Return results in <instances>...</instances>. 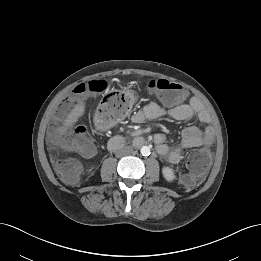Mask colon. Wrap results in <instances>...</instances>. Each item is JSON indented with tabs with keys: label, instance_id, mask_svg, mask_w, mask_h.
<instances>
[{
	"label": "colon",
	"instance_id": "5ec220e1",
	"mask_svg": "<svg viewBox=\"0 0 261 261\" xmlns=\"http://www.w3.org/2000/svg\"><path fill=\"white\" fill-rule=\"evenodd\" d=\"M150 92L156 93L160 100L167 105L179 103L185 99L183 87L166 79H151L144 84ZM96 92L103 95L102 122L110 125L122 119L130 110V100L121 92H108L107 85L102 80L82 82L73 89L74 95H83ZM70 101H68V104ZM60 144L65 150L78 152L85 156H91L95 152V143L90 131L85 126H78L72 132L58 135ZM211 157L206 150L193 151L188 158V174H183L180 181L185 186H193L198 177L203 175L209 165ZM55 170L60 177L69 184L77 182L81 171V163L72 157H64L55 161Z\"/></svg>",
	"mask_w": 261,
	"mask_h": 261
}]
</instances>
